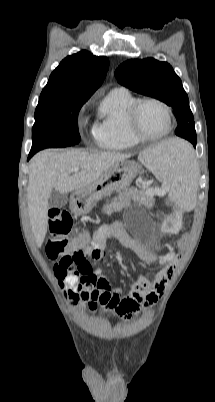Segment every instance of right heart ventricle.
Wrapping results in <instances>:
<instances>
[{
    "label": "right heart ventricle",
    "mask_w": 215,
    "mask_h": 402,
    "mask_svg": "<svg viewBox=\"0 0 215 402\" xmlns=\"http://www.w3.org/2000/svg\"><path fill=\"white\" fill-rule=\"evenodd\" d=\"M137 98L124 88L111 90L102 100L98 121L94 126L97 145L107 150H126L142 140L132 135L128 127V111Z\"/></svg>",
    "instance_id": "e07e8e85"
}]
</instances>
